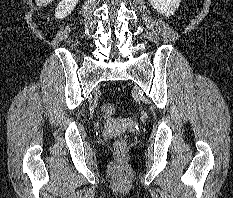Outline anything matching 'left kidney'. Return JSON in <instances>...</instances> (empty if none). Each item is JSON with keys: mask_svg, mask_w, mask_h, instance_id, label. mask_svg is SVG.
<instances>
[{"mask_svg": "<svg viewBox=\"0 0 233 198\" xmlns=\"http://www.w3.org/2000/svg\"><path fill=\"white\" fill-rule=\"evenodd\" d=\"M150 5L159 11V13L164 14L169 17L174 14L178 9L181 0H148Z\"/></svg>", "mask_w": 233, "mask_h": 198, "instance_id": "left-kidney-1", "label": "left kidney"}]
</instances>
